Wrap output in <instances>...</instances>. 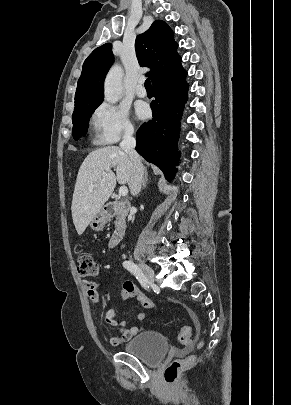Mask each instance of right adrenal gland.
Segmentation results:
<instances>
[{"label": "right adrenal gland", "instance_id": "2a0ac1e0", "mask_svg": "<svg viewBox=\"0 0 291 405\" xmlns=\"http://www.w3.org/2000/svg\"><path fill=\"white\" fill-rule=\"evenodd\" d=\"M147 183H148V172H147V170H145L144 180L142 183V189L146 188Z\"/></svg>", "mask_w": 291, "mask_h": 405}]
</instances>
